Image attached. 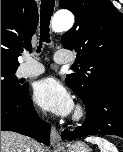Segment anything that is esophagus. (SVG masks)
Wrapping results in <instances>:
<instances>
[{"label": "esophagus", "mask_w": 123, "mask_h": 152, "mask_svg": "<svg viewBox=\"0 0 123 152\" xmlns=\"http://www.w3.org/2000/svg\"><path fill=\"white\" fill-rule=\"evenodd\" d=\"M50 141H51L52 146H54V147L60 146L59 134L54 125L51 126Z\"/></svg>", "instance_id": "1"}]
</instances>
